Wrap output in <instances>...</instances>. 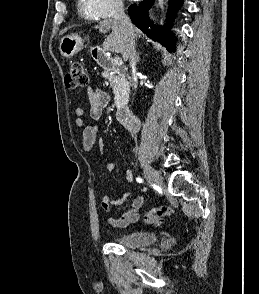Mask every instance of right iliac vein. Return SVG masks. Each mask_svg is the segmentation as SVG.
<instances>
[{
    "instance_id": "63e3f726",
    "label": "right iliac vein",
    "mask_w": 259,
    "mask_h": 294,
    "mask_svg": "<svg viewBox=\"0 0 259 294\" xmlns=\"http://www.w3.org/2000/svg\"><path fill=\"white\" fill-rule=\"evenodd\" d=\"M144 172L151 183H159L160 182V176H159L158 172L156 170H154L150 165H148V164L144 165Z\"/></svg>"
}]
</instances>
